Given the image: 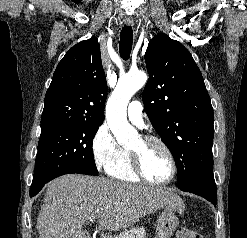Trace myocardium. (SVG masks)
Listing matches in <instances>:
<instances>
[{
  "label": "myocardium",
  "mask_w": 247,
  "mask_h": 238,
  "mask_svg": "<svg viewBox=\"0 0 247 238\" xmlns=\"http://www.w3.org/2000/svg\"><path fill=\"white\" fill-rule=\"evenodd\" d=\"M140 139L144 144L155 143V144H158L160 147H162V149L166 152L169 158V161L171 164V173L168 178L162 181H154V180L149 179L143 171L140 154L136 151L129 150L132 167L137 177L141 181L147 184H150V185H154V186H163V185H167L170 182H172L177 173V163H176L174 153L169 147V145L165 141H163L161 138L154 136V135H144V136H141Z\"/></svg>",
  "instance_id": "1"
}]
</instances>
